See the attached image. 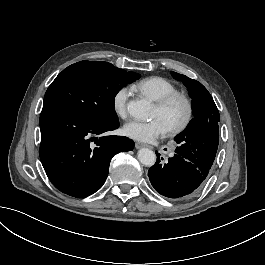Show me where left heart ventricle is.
<instances>
[{
    "label": "left heart ventricle",
    "mask_w": 265,
    "mask_h": 265,
    "mask_svg": "<svg viewBox=\"0 0 265 265\" xmlns=\"http://www.w3.org/2000/svg\"><path fill=\"white\" fill-rule=\"evenodd\" d=\"M185 115V108L182 103H173L166 112L160 114L156 107L154 109L153 117L159 118L165 127H174L181 123Z\"/></svg>",
    "instance_id": "1"
}]
</instances>
